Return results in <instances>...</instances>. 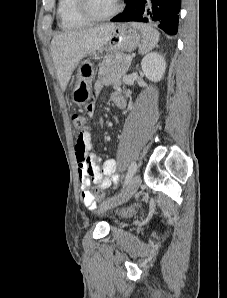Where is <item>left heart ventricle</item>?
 Wrapping results in <instances>:
<instances>
[{
    "instance_id": "obj_1",
    "label": "left heart ventricle",
    "mask_w": 227,
    "mask_h": 298,
    "mask_svg": "<svg viewBox=\"0 0 227 298\" xmlns=\"http://www.w3.org/2000/svg\"><path fill=\"white\" fill-rule=\"evenodd\" d=\"M117 0H89L91 11L98 16L110 13L116 6Z\"/></svg>"
}]
</instances>
